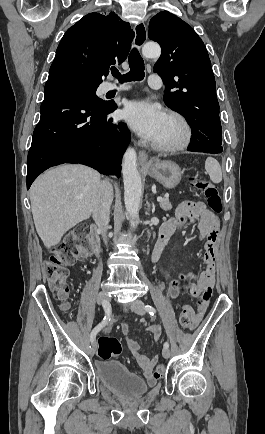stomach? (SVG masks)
Wrapping results in <instances>:
<instances>
[{"instance_id": "stomach-1", "label": "stomach", "mask_w": 265, "mask_h": 434, "mask_svg": "<svg viewBox=\"0 0 265 434\" xmlns=\"http://www.w3.org/2000/svg\"><path fill=\"white\" fill-rule=\"evenodd\" d=\"M151 178H155L157 182L163 184L164 188H175L181 180V168L175 162H155L148 164V168H143Z\"/></svg>"}]
</instances>
